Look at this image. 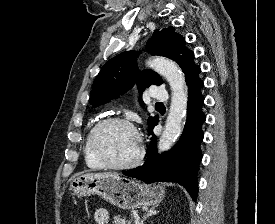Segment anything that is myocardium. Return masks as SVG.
<instances>
[{"label": "myocardium", "instance_id": "obj_1", "mask_svg": "<svg viewBox=\"0 0 275 224\" xmlns=\"http://www.w3.org/2000/svg\"><path fill=\"white\" fill-rule=\"evenodd\" d=\"M113 124H122L130 129L133 130V132L136 135L137 141H138V150L136 156L130 160L129 162L122 163V164H116L111 162L107 156L103 153L100 145H99V139L102 131ZM90 147L92 150V153L94 156L99 160V162L106 168L109 169H114V170H126V169H131L133 167H136L139 165L145 154L144 150V144H143V138L137 129V127L132 123L130 120L124 117L120 116H110L106 117L99 122L96 123V125L93 127L91 134H90Z\"/></svg>", "mask_w": 275, "mask_h": 224}]
</instances>
